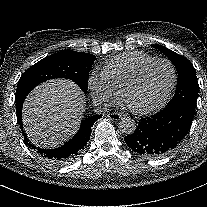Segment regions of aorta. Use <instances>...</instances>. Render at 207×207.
<instances>
[{"mask_svg": "<svg viewBox=\"0 0 207 207\" xmlns=\"http://www.w3.org/2000/svg\"><path fill=\"white\" fill-rule=\"evenodd\" d=\"M136 127V122L130 117H122L118 124V128L125 135L133 134Z\"/></svg>", "mask_w": 207, "mask_h": 207, "instance_id": "obj_1", "label": "aorta"}]
</instances>
